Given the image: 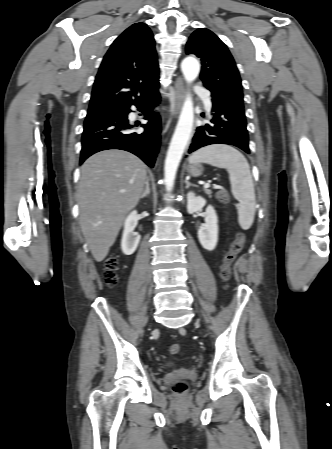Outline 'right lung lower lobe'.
Masks as SVG:
<instances>
[{"label":"right lung lower lobe","mask_w":332,"mask_h":449,"mask_svg":"<svg viewBox=\"0 0 332 449\" xmlns=\"http://www.w3.org/2000/svg\"><path fill=\"white\" fill-rule=\"evenodd\" d=\"M158 90L147 98L135 101L117 110L98 113L86 117L82 134L80 164L92 154L108 149L129 151L140 157L148 166L153 167L160 146V116L153 112L158 105ZM135 105L148 120L141 126L142 133L132 132L128 114Z\"/></svg>","instance_id":"98d812e1"}]
</instances>
